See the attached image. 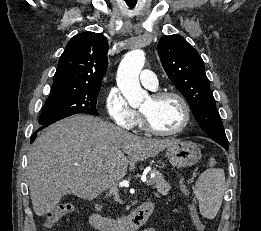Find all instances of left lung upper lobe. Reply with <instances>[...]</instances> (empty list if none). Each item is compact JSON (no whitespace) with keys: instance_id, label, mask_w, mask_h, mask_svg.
Instances as JSON below:
<instances>
[{"instance_id":"5c2ea615","label":"left lung upper lobe","mask_w":261,"mask_h":231,"mask_svg":"<svg viewBox=\"0 0 261 231\" xmlns=\"http://www.w3.org/2000/svg\"><path fill=\"white\" fill-rule=\"evenodd\" d=\"M162 66L185 96L195 118L213 140L228 142L215 99L198 52L181 36H163L158 43Z\"/></svg>"}]
</instances>
